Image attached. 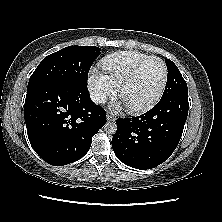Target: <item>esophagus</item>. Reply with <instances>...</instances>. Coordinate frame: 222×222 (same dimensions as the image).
Segmentation results:
<instances>
[{
  "instance_id": "obj_1",
  "label": "esophagus",
  "mask_w": 222,
  "mask_h": 222,
  "mask_svg": "<svg viewBox=\"0 0 222 222\" xmlns=\"http://www.w3.org/2000/svg\"><path fill=\"white\" fill-rule=\"evenodd\" d=\"M116 117L113 114L108 113L107 114V121H115Z\"/></svg>"
}]
</instances>
